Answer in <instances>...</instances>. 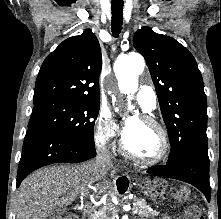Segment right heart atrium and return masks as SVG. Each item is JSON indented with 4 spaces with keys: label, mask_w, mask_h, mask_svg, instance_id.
<instances>
[{
    "label": "right heart atrium",
    "mask_w": 221,
    "mask_h": 219,
    "mask_svg": "<svg viewBox=\"0 0 221 219\" xmlns=\"http://www.w3.org/2000/svg\"><path fill=\"white\" fill-rule=\"evenodd\" d=\"M116 134V125L111 113L101 110L94 125V139L96 146L104 151L112 149L113 139Z\"/></svg>",
    "instance_id": "obj_1"
}]
</instances>
